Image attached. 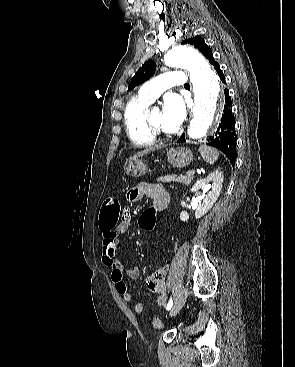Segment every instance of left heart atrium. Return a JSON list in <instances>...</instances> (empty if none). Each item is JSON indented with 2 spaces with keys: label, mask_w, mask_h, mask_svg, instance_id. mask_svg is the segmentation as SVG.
<instances>
[{
  "label": "left heart atrium",
  "mask_w": 295,
  "mask_h": 367,
  "mask_svg": "<svg viewBox=\"0 0 295 367\" xmlns=\"http://www.w3.org/2000/svg\"><path fill=\"white\" fill-rule=\"evenodd\" d=\"M186 116V104L183 98L175 93L164 98L162 109V124L167 131H176Z\"/></svg>",
  "instance_id": "39dd6f15"
}]
</instances>
